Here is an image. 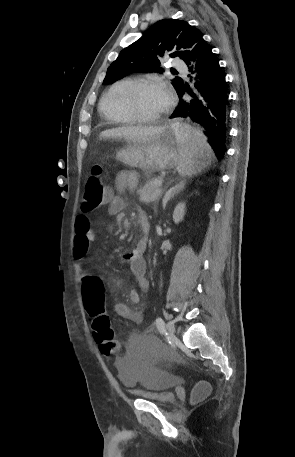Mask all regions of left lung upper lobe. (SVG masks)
<instances>
[{
    "mask_svg": "<svg viewBox=\"0 0 295 457\" xmlns=\"http://www.w3.org/2000/svg\"><path fill=\"white\" fill-rule=\"evenodd\" d=\"M203 38L200 30L178 19H163L152 25L136 42L122 50L107 69L104 83H109L132 73L157 72L162 74L159 56L170 52L171 57H180L185 62L194 46ZM172 85L178 91L183 80L176 78Z\"/></svg>",
    "mask_w": 295,
    "mask_h": 457,
    "instance_id": "left-lung-upper-lobe-1",
    "label": "left lung upper lobe"
}]
</instances>
